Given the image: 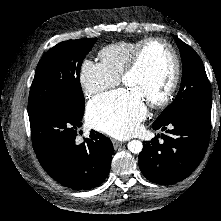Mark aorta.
<instances>
[{
    "label": "aorta",
    "instance_id": "aorta-1",
    "mask_svg": "<svg viewBox=\"0 0 221 221\" xmlns=\"http://www.w3.org/2000/svg\"><path fill=\"white\" fill-rule=\"evenodd\" d=\"M127 147L130 152H132L134 154H138L142 151L143 144L139 140H132L128 143Z\"/></svg>",
    "mask_w": 221,
    "mask_h": 221
}]
</instances>
